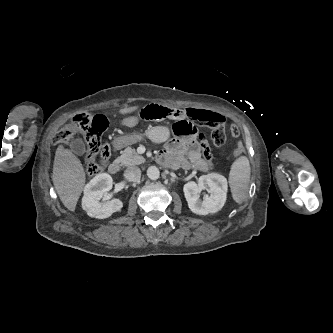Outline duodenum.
Wrapping results in <instances>:
<instances>
[{
  "label": "duodenum",
  "instance_id": "duodenum-1",
  "mask_svg": "<svg viewBox=\"0 0 333 333\" xmlns=\"http://www.w3.org/2000/svg\"><path fill=\"white\" fill-rule=\"evenodd\" d=\"M119 169H120V166L116 160L112 161L108 166V171L112 175L116 174L119 171Z\"/></svg>",
  "mask_w": 333,
  "mask_h": 333
}]
</instances>
